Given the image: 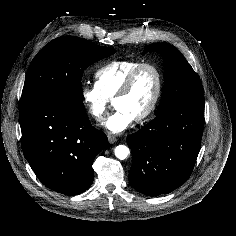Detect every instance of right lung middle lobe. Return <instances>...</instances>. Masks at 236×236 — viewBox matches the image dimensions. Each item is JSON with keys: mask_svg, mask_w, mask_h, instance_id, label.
<instances>
[{"mask_svg": "<svg viewBox=\"0 0 236 236\" xmlns=\"http://www.w3.org/2000/svg\"><path fill=\"white\" fill-rule=\"evenodd\" d=\"M115 53L108 47L73 36L49 42L32 60L21 96V103L50 98L82 106L81 78L91 64Z\"/></svg>", "mask_w": 236, "mask_h": 236, "instance_id": "1", "label": "right lung middle lobe"}]
</instances>
